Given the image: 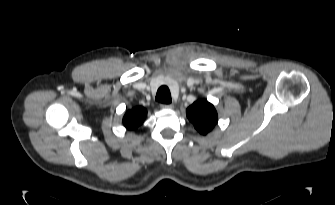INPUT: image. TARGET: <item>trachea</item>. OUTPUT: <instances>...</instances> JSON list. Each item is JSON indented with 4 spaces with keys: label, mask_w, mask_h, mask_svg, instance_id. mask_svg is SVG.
<instances>
[{
    "label": "trachea",
    "mask_w": 335,
    "mask_h": 205,
    "mask_svg": "<svg viewBox=\"0 0 335 205\" xmlns=\"http://www.w3.org/2000/svg\"><path fill=\"white\" fill-rule=\"evenodd\" d=\"M158 102H161L163 104H170L172 102L171 99V93L167 86L163 85L161 86L156 93V98Z\"/></svg>",
    "instance_id": "3493384b"
}]
</instances>
